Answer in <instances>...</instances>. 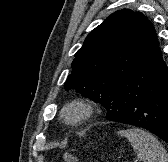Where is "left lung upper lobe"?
Segmentation results:
<instances>
[{
	"mask_svg": "<svg viewBox=\"0 0 168 162\" xmlns=\"http://www.w3.org/2000/svg\"><path fill=\"white\" fill-rule=\"evenodd\" d=\"M158 43L141 12L119 10L97 26L75 54L65 89L106 106L115 87L129 77Z\"/></svg>",
	"mask_w": 168,
	"mask_h": 162,
	"instance_id": "5c2ea615",
	"label": "left lung upper lobe"
}]
</instances>
